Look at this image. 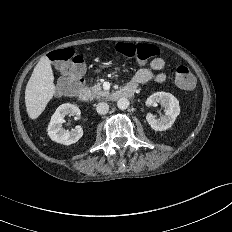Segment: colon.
Returning a JSON list of instances; mask_svg holds the SVG:
<instances>
[{"label": "colon", "instance_id": "1", "mask_svg": "<svg viewBox=\"0 0 232 232\" xmlns=\"http://www.w3.org/2000/svg\"><path fill=\"white\" fill-rule=\"evenodd\" d=\"M115 50L120 55L141 63L159 54L158 47L148 43L121 42L116 44ZM49 57L60 68L61 79L58 82V91L62 94L76 93L82 85L84 69L82 58L69 48L54 50ZM174 78L176 85L184 90H191L196 84L193 73L185 65L176 68Z\"/></svg>", "mask_w": 232, "mask_h": 232}]
</instances>
